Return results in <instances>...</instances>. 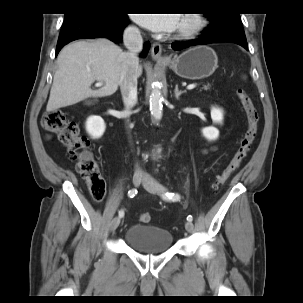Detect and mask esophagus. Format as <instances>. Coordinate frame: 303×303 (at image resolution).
Returning <instances> with one entry per match:
<instances>
[{
  "instance_id": "1",
  "label": "esophagus",
  "mask_w": 303,
  "mask_h": 303,
  "mask_svg": "<svg viewBox=\"0 0 303 303\" xmlns=\"http://www.w3.org/2000/svg\"><path fill=\"white\" fill-rule=\"evenodd\" d=\"M151 56L154 60H157V61H164V60H167L168 58L163 56L162 54V46L160 43L158 42H154L152 44V47H151Z\"/></svg>"
}]
</instances>
